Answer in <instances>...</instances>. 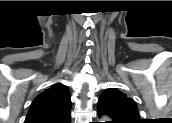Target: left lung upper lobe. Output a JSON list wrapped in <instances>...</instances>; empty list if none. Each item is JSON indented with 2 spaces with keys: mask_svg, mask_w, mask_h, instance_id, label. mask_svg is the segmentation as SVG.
<instances>
[{
  "mask_svg": "<svg viewBox=\"0 0 172 123\" xmlns=\"http://www.w3.org/2000/svg\"><path fill=\"white\" fill-rule=\"evenodd\" d=\"M97 113L108 115L112 123H140V115L133 99L117 89L104 91L97 104Z\"/></svg>",
  "mask_w": 172,
  "mask_h": 123,
  "instance_id": "obj_1",
  "label": "left lung upper lobe"
}]
</instances>
